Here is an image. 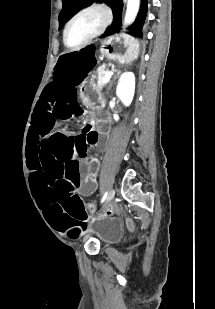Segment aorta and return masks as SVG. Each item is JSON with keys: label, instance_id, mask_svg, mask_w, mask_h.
Returning a JSON list of instances; mask_svg holds the SVG:
<instances>
[{"label": "aorta", "instance_id": "obj_1", "mask_svg": "<svg viewBox=\"0 0 215 309\" xmlns=\"http://www.w3.org/2000/svg\"><path fill=\"white\" fill-rule=\"evenodd\" d=\"M139 6L140 0H128L127 10L123 22L124 26H128V24H132V22H134L139 10Z\"/></svg>", "mask_w": 215, "mask_h": 309}]
</instances>
